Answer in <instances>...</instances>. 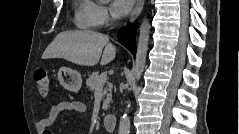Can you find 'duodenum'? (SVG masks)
Instances as JSON below:
<instances>
[{"label": "duodenum", "instance_id": "duodenum-1", "mask_svg": "<svg viewBox=\"0 0 239 134\" xmlns=\"http://www.w3.org/2000/svg\"><path fill=\"white\" fill-rule=\"evenodd\" d=\"M117 118L114 114H106L103 117V125L108 132H112L115 128Z\"/></svg>", "mask_w": 239, "mask_h": 134}]
</instances>
